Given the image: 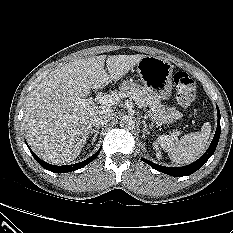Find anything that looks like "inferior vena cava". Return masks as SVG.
<instances>
[{"label": "inferior vena cava", "mask_w": 233, "mask_h": 233, "mask_svg": "<svg viewBox=\"0 0 233 233\" xmlns=\"http://www.w3.org/2000/svg\"><path fill=\"white\" fill-rule=\"evenodd\" d=\"M113 110L110 108L102 107L100 108L92 119L93 126L99 127L106 125L113 118Z\"/></svg>", "instance_id": "obj_1"}]
</instances>
